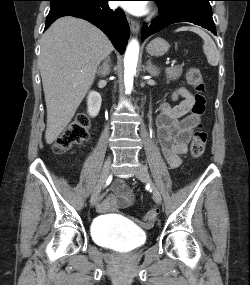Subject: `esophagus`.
<instances>
[{"instance_id": "obj_1", "label": "esophagus", "mask_w": 250, "mask_h": 285, "mask_svg": "<svg viewBox=\"0 0 250 285\" xmlns=\"http://www.w3.org/2000/svg\"><path fill=\"white\" fill-rule=\"evenodd\" d=\"M128 22H129V25H130V29H131V32L133 34H138L139 30H140V24L139 22L135 21L133 18L131 17H128Z\"/></svg>"}]
</instances>
